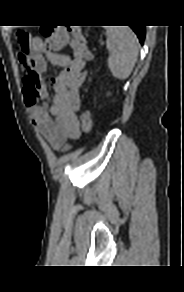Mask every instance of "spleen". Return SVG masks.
Masks as SVG:
<instances>
[{
  "instance_id": "1",
  "label": "spleen",
  "mask_w": 184,
  "mask_h": 292,
  "mask_svg": "<svg viewBox=\"0 0 184 292\" xmlns=\"http://www.w3.org/2000/svg\"><path fill=\"white\" fill-rule=\"evenodd\" d=\"M106 32V46L110 52L108 67L115 78L125 80L137 60L138 39L129 27H108Z\"/></svg>"
}]
</instances>
